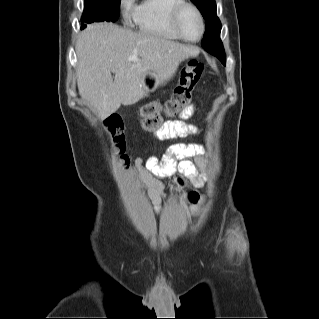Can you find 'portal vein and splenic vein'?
Instances as JSON below:
<instances>
[{"label":"portal vein and splenic vein","instance_id":"18ae733b","mask_svg":"<svg viewBox=\"0 0 319 319\" xmlns=\"http://www.w3.org/2000/svg\"><path fill=\"white\" fill-rule=\"evenodd\" d=\"M136 59H137V57H136V56L128 57V60H129V61H133V60H136Z\"/></svg>","mask_w":319,"mask_h":319}]
</instances>
